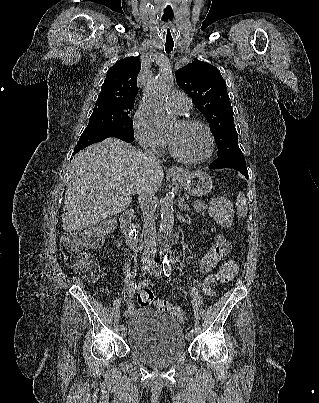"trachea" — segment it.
Listing matches in <instances>:
<instances>
[{
  "label": "trachea",
  "instance_id": "1",
  "mask_svg": "<svg viewBox=\"0 0 319 403\" xmlns=\"http://www.w3.org/2000/svg\"><path fill=\"white\" fill-rule=\"evenodd\" d=\"M165 39H166L165 50L167 53H170L173 50L174 41L171 30L169 28H167V30L165 31Z\"/></svg>",
  "mask_w": 319,
  "mask_h": 403
}]
</instances>
